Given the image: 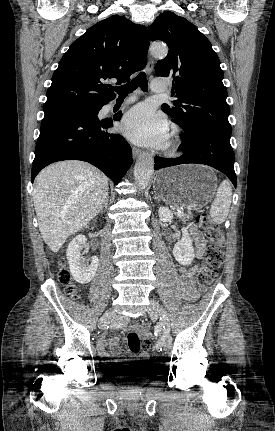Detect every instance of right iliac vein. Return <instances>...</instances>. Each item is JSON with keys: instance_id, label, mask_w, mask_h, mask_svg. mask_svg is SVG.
Masks as SVG:
<instances>
[{"instance_id": "63e3f726", "label": "right iliac vein", "mask_w": 275, "mask_h": 431, "mask_svg": "<svg viewBox=\"0 0 275 431\" xmlns=\"http://www.w3.org/2000/svg\"><path fill=\"white\" fill-rule=\"evenodd\" d=\"M116 316V312L113 308L108 309L101 317L98 323V327L102 329L108 322L113 320Z\"/></svg>"}]
</instances>
